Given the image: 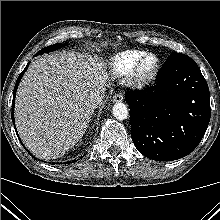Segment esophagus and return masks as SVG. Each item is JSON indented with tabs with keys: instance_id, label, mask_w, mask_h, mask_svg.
Listing matches in <instances>:
<instances>
[{
	"instance_id": "1",
	"label": "esophagus",
	"mask_w": 220,
	"mask_h": 220,
	"mask_svg": "<svg viewBox=\"0 0 220 220\" xmlns=\"http://www.w3.org/2000/svg\"><path fill=\"white\" fill-rule=\"evenodd\" d=\"M121 101H123V94L118 93V94L114 95L113 102L117 103V102H121Z\"/></svg>"
}]
</instances>
